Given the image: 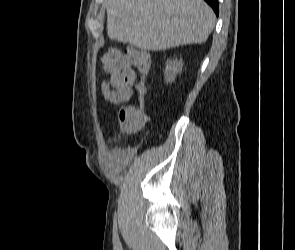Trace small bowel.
Masks as SVG:
<instances>
[{"label":"small bowel","mask_w":295,"mask_h":250,"mask_svg":"<svg viewBox=\"0 0 295 250\" xmlns=\"http://www.w3.org/2000/svg\"><path fill=\"white\" fill-rule=\"evenodd\" d=\"M151 67L148 53L132 52L128 57L118 62L110 71L108 80L101 85V91L106 100L113 104L125 103L133 97V85L138 77L144 79Z\"/></svg>","instance_id":"1"}]
</instances>
